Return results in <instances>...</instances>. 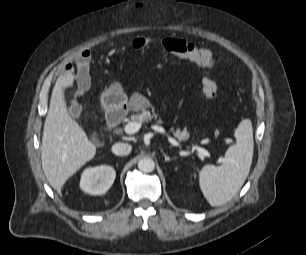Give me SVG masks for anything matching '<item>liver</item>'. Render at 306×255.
<instances>
[{"label": "liver", "instance_id": "1", "mask_svg": "<svg viewBox=\"0 0 306 255\" xmlns=\"http://www.w3.org/2000/svg\"><path fill=\"white\" fill-rule=\"evenodd\" d=\"M74 78L73 71H67L57 79L42 137V168L59 194L65 182L96 154V146L66 109L63 88L71 86Z\"/></svg>", "mask_w": 306, "mask_h": 255}]
</instances>
